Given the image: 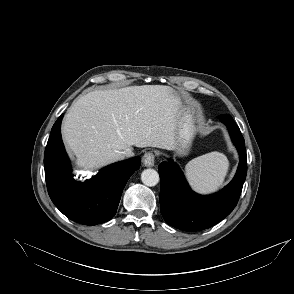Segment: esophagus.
<instances>
[{"label":"esophagus","instance_id":"1","mask_svg":"<svg viewBox=\"0 0 294 294\" xmlns=\"http://www.w3.org/2000/svg\"><path fill=\"white\" fill-rule=\"evenodd\" d=\"M143 165L146 167H152L155 163V156L152 152H146L142 157Z\"/></svg>","mask_w":294,"mask_h":294}]
</instances>
